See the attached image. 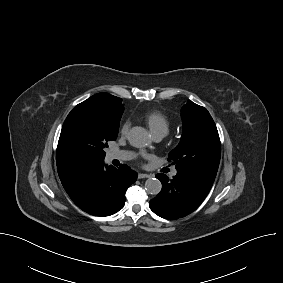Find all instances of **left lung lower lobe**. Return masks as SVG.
Returning a JSON list of instances; mask_svg holds the SVG:
<instances>
[{"mask_svg": "<svg viewBox=\"0 0 283 283\" xmlns=\"http://www.w3.org/2000/svg\"><path fill=\"white\" fill-rule=\"evenodd\" d=\"M162 183L160 193L150 200V209L158 216L175 220L196 210L210 189L196 179L177 173L173 179L165 174L156 175Z\"/></svg>", "mask_w": 283, "mask_h": 283, "instance_id": "1", "label": "left lung lower lobe"}]
</instances>
